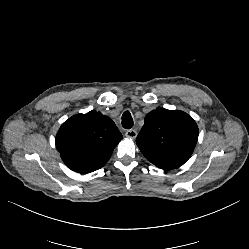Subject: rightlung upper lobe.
Wrapping results in <instances>:
<instances>
[{"mask_svg":"<svg viewBox=\"0 0 249 249\" xmlns=\"http://www.w3.org/2000/svg\"><path fill=\"white\" fill-rule=\"evenodd\" d=\"M122 138L109 117L90 111L72 116L60 127L56 148L71 170L90 173L108 162Z\"/></svg>","mask_w":249,"mask_h":249,"instance_id":"cb5924a9","label":"right lung upper lobe"}]
</instances>
